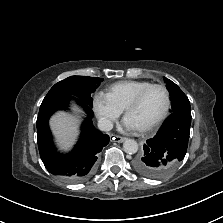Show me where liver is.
Instances as JSON below:
<instances>
[{"instance_id": "obj_1", "label": "liver", "mask_w": 223, "mask_h": 223, "mask_svg": "<svg viewBox=\"0 0 223 223\" xmlns=\"http://www.w3.org/2000/svg\"><path fill=\"white\" fill-rule=\"evenodd\" d=\"M72 109L78 116L65 112H58L49 122L57 144L64 150H68L74 144L78 135V125L83 115V111L78 106L73 105Z\"/></svg>"}]
</instances>
